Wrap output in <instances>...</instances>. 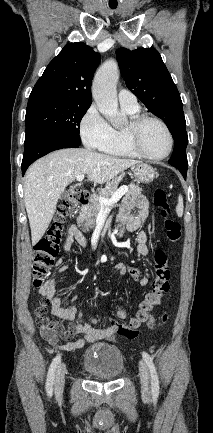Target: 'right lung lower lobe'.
Instances as JSON below:
<instances>
[{
    "label": "right lung lower lobe",
    "instance_id": "obj_1",
    "mask_svg": "<svg viewBox=\"0 0 213 433\" xmlns=\"http://www.w3.org/2000/svg\"><path fill=\"white\" fill-rule=\"evenodd\" d=\"M76 143L69 138L46 129H37L27 132L24 143V156L22 160V175L29 165L36 159L62 148H78Z\"/></svg>",
    "mask_w": 213,
    "mask_h": 433
}]
</instances>
